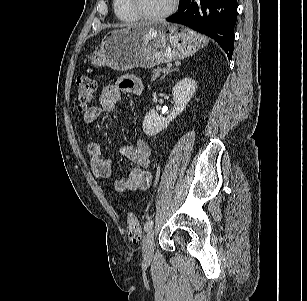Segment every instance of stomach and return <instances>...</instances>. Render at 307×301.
I'll use <instances>...</instances> for the list:
<instances>
[{"label": "stomach", "instance_id": "stomach-1", "mask_svg": "<svg viewBox=\"0 0 307 301\" xmlns=\"http://www.w3.org/2000/svg\"><path fill=\"white\" fill-rule=\"evenodd\" d=\"M206 43L204 36L182 25L140 24L108 33L88 62L116 71L150 68L193 55Z\"/></svg>", "mask_w": 307, "mask_h": 301}]
</instances>
